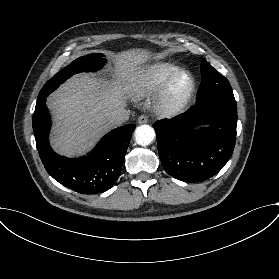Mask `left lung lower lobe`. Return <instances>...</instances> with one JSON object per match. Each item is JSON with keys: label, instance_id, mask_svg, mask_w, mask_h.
<instances>
[{"label": "left lung lower lobe", "instance_id": "obj_1", "mask_svg": "<svg viewBox=\"0 0 279 279\" xmlns=\"http://www.w3.org/2000/svg\"><path fill=\"white\" fill-rule=\"evenodd\" d=\"M237 105L212 99L154 124L165 171L185 182L206 180L230 159L236 142ZM209 125L207 127H200ZM200 127V128H198Z\"/></svg>", "mask_w": 279, "mask_h": 279}]
</instances>
